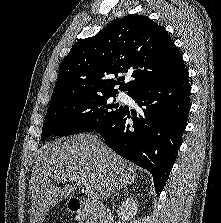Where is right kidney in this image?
Returning <instances> with one entry per match:
<instances>
[{
    "label": "right kidney",
    "mask_w": 221,
    "mask_h": 223,
    "mask_svg": "<svg viewBox=\"0 0 221 223\" xmlns=\"http://www.w3.org/2000/svg\"><path fill=\"white\" fill-rule=\"evenodd\" d=\"M137 211H138L137 199L129 197L119 207L118 217L123 221H129L137 214Z\"/></svg>",
    "instance_id": "ca27d5eb"
}]
</instances>
